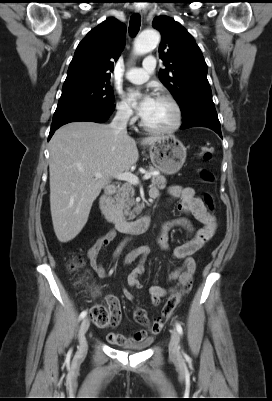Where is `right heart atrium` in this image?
Wrapping results in <instances>:
<instances>
[{
	"instance_id": "d8ad5b80",
	"label": "right heart atrium",
	"mask_w": 272,
	"mask_h": 401,
	"mask_svg": "<svg viewBox=\"0 0 272 401\" xmlns=\"http://www.w3.org/2000/svg\"><path fill=\"white\" fill-rule=\"evenodd\" d=\"M115 113L116 117L124 123H130L134 120L133 111L121 100H118L115 104Z\"/></svg>"
}]
</instances>
